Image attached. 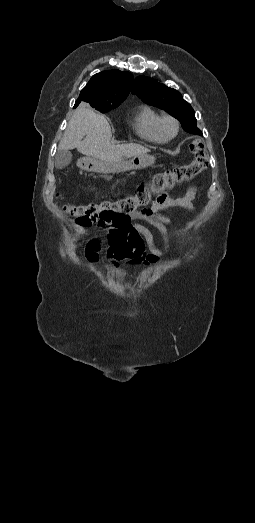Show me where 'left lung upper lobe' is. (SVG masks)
<instances>
[{
    "label": "left lung upper lobe",
    "mask_w": 255,
    "mask_h": 523,
    "mask_svg": "<svg viewBox=\"0 0 255 523\" xmlns=\"http://www.w3.org/2000/svg\"><path fill=\"white\" fill-rule=\"evenodd\" d=\"M133 93L143 102L157 106L177 118L185 131L202 135L196 127L194 110L176 90L151 78L138 76L134 82Z\"/></svg>",
    "instance_id": "obj_1"
}]
</instances>
